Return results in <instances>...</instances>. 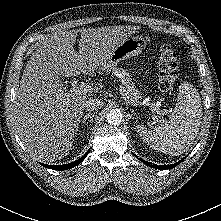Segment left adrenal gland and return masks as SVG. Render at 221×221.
<instances>
[{
	"mask_svg": "<svg viewBox=\"0 0 221 221\" xmlns=\"http://www.w3.org/2000/svg\"><path fill=\"white\" fill-rule=\"evenodd\" d=\"M132 112H133V114H134V115H136V117H137V114H136V113H134V111H132Z\"/></svg>",
	"mask_w": 221,
	"mask_h": 221,
	"instance_id": "a2214340",
	"label": "left adrenal gland"
}]
</instances>
